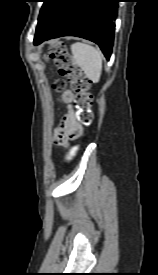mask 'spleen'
Here are the masks:
<instances>
[{
    "instance_id": "obj_1",
    "label": "spleen",
    "mask_w": 158,
    "mask_h": 275,
    "mask_svg": "<svg viewBox=\"0 0 158 275\" xmlns=\"http://www.w3.org/2000/svg\"><path fill=\"white\" fill-rule=\"evenodd\" d=\"M71 52L86 77L92 82L98 83L102 73L103 55L101 51L88 44L76 42L71 45Z\"/></svg>"
}]
</instances>
